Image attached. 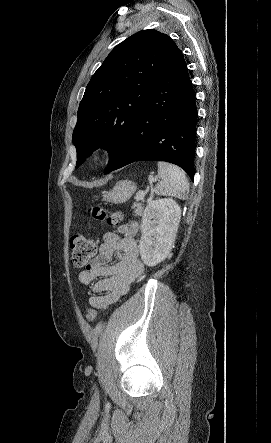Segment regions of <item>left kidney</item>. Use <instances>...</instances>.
<instances>
[{
    "label": "left kidney",
    "instance_id": "obj_1",
    "mask_svg": "<svg viewBox=\"0 0 271 443\" xmlns=\"http://www.w3.org/2000/svg\"><path fill=\"white\" fill-rule=\"evenodd\" d=\"M181 208L170 198L153 200L143 212L139 241L143 263L153 267L169 255L179 227Z\"/></svg>",
    "mask_w": 271,
    "mask_h": 443
}]
</instances>
